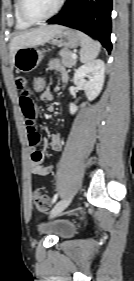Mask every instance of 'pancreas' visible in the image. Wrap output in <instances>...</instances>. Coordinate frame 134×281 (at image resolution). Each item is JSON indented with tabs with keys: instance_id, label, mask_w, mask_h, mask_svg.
Wrapping results in <instances>:
<instances>
[{
	"instance_id": "1",
	"label": "pancreas",
	"mask_w": 134,
	"mask_h": 281,
	"mask_svg": "<svg viewBox=\"0 0 134 281\" xmlns=\"http://www.w3.org/2000/svg\"><path fill=\"white\" fill-rule=\"evenodd\" d=\"M73 52L69 49H61L59 55L61 56V63L63 66L71 68L76 64V59L72 58Z\"/></svg>"
}]
</instances>
